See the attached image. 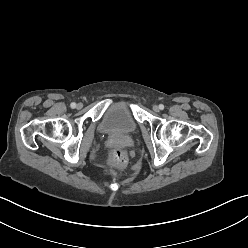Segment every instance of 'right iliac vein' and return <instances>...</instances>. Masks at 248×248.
<instances>
[{"instance_id":"63e3f726","label":"right iliac vein","mask_w":248,"mask_h":248,"mask_svg":"<svg viewBox=\"0 0 248 248\" xmlns=\"http://www.w3.org/2000/svg\"><path fill=\"white\" fill-rule=\"evenodd\" d=\"M77 108H78V109H81V108H82V104L79 103V104L77 105Z\"/></svg>"}]
</instances>
